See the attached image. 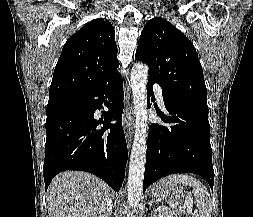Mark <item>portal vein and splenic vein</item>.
I'll return each instance as SVG.
<instances>
[{
  "label": "portal vein and splenic vein",
  "mask_w": 253,
  "mask_h": 217,
  "mask_svg": "<svg viewBox=\"0 0 253 217\" xmlns=\"http://www.w3.org/2000/svg\"><path fill=\"white\" fill-rule=\"evenodd\" d=\"M159 211H164V212H167V213L169 212L168 208H166V207H159Z\"/></svg>",
  "instance_id": "portal-vein-and-splenic-vein-1"
}]
</instances>
